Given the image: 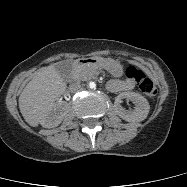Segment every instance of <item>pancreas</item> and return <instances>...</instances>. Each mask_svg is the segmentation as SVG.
I'll return each mask as SVG.
<instances>
[{"label": "pancreas", "instance_id": "obj_1", "mask_svg": "<svg viewBox=\"0 0 187 187\" xmlns=\"http://www.w3.org/2000/svg\"><path fill=\"white\" fill-rule=\"evenodd\" d=\"M99 70L91 65H85L79 68L75 73L74 77L78 81H87L91 79H97Z\"/></svg>", "mask_w": 187, "mask_h": 187}]
</instances>
